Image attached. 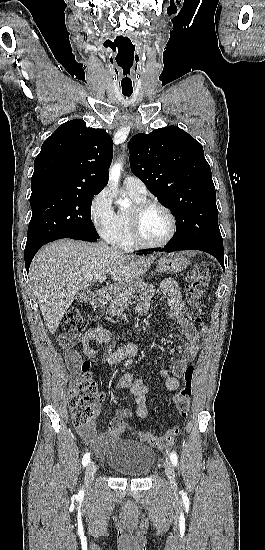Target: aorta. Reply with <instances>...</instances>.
<instances>
[{"label": "aorta", "instance_id": "obj_1", "mask_svg": "<svg viewBox=\"0 0 265 550\" xmlns=\"http://www.w3.org/2000/svg\"><path fill=\"white\" fill-rule=\"evenodd\" d=\"M121 169H122L121 163H115L110 169L109 178L114 187H117L118 185ZM117 203L124 208L129 207L130 205V201L128 199H119Z\"/></svg>", "mask_w": 265, "mask_h": 550}]
</instances>
